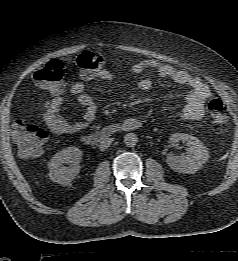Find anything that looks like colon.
I'll return each instance as SVG.
<instances>
[{
  "label": "colon",
  "mask_w": 238,
  "mask_h": 261,
  "mask_svg": "<svg viewBox=\"0 0 238 261\" xmlns=\"http://www.w3.org/2000/svg\"><path fill=\"white\" fill-rule=\"evenodd\" d=\"M105 57L94 52H84L76 59V67L83 73L92 74L102 69ZM65 67L61 61L48 62L35 72L34 80L42 88L52 93L62 92ZM209 119L216 133H223L227 128V108L220 99H212L207 106ZM13 140L22 157L30 158L39 155L48 139V133L37 125L26 124L16 120L12 126Z\"/></svg>",
  "instance_id": "obj_1"
}]
</instances>
